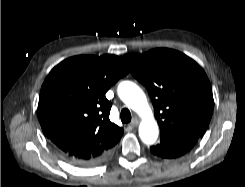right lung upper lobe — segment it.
<instances>
[{
  "label": "right lung upper lobe",
  "instance_id": "1",
  "mask_svg": "<svg viewBox=\"0 0 245 187\" xmlns=\"http://www.w3.org/2000/svg\"><path fill=\"white\" fill-rule=\"evenodd\" d=\"M128 72L115 55L74 56L51 70L40 91L38 119L61 155L88 161L118 143L123 129L109 120L105 93Z\"/></svg>",
  "mask_w": 245,
  "mask_h": 187
}]
</instances>
